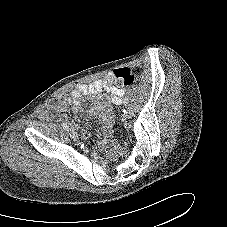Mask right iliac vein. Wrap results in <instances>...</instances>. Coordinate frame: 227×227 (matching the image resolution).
<instances>
[{
	"label": "right iliac vein",
	"mask_w": 227,
	"mask_h": 227,
	"mask_svg": "<svg viewBox=\"0 0 227 227\" xmlns=\"http://www.w3.org/2000/svg\"><path fill=\"white\" fill-rule=\"evenodd\" d=\"M69 135L74 140L78 139V134L75 131H73V130H70Z\"/></svg>",
	"instance_id": "obj_1"
}]
</instances>
